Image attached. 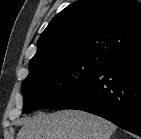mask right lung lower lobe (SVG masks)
Instances as JSON below:
<instances>
[{
    "label": "right lung lower lobe",
    "instance_id": "1",
    "mask_svg": "<svg viewBox=\"0 0 141 139\" xmlns=\"http://www.w3.org/2000/svg\"><path fill=\"white\" fill-rule=\"evenodd\" d=\"M54 108L86 111L141 136V44L108 58L87 84Z\"/></svg>",
    "mask_w": 141,
    "mask_h": 139
}]
</instances>
